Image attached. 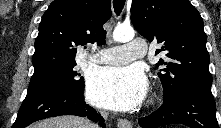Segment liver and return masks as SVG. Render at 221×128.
I'll return each instance as SVG.
<instances>
[{"instance_id": "obj_1", "label": "liver", "mask_w": 221, "mask_h": 128, "mask_svg": "<svg viewBox=\"0 0 221 128\" xmlns=\"http://www.w3.org/2000/svg\"><path fill=\"white\" fill-rule=\"evenodd\" d=\"M92 124L77 116L65 115L42 120L29 128H91Z\"/></svg>"}]
</instances>
